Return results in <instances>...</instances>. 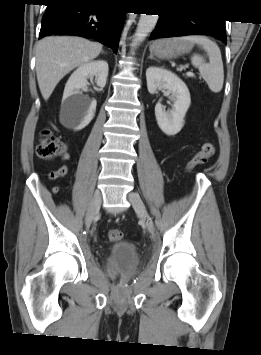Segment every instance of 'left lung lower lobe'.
Returning a JSON list of instances; mask_svg holds the SVG:
<instances>
[{"mask_svg":"<svg viewBox=\"0 0 261 355\" xmlns=\"http://www.w3.org/2000/svg\"><path fill=\"white\" fill-rule=\"evenodd\" d=\"M182 35H208L226 43L225 21L221 19L160 15L150 39Z\"/></svg>","mask_w":261,"mask_h":355,"instance_id":"1","label":"left lung lower lobe"}]
</instances>
